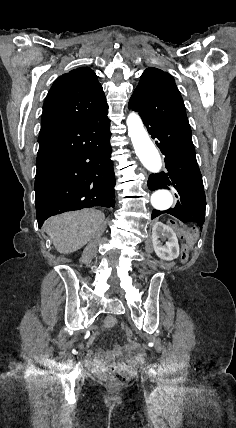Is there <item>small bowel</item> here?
Instances as JSON below:
<instances>
[{
	"mask_svg": "<svg viewBox=\"0 0 236 428\" xmlns=\"http://www.w3.org/2000/svg\"><path fill=\"white\" fill-rule=\"evenodd\" d=\"M117 320L114 317H107L101 330L114 327ZM98 332L95 333L89 342H91ZM145 355L137 343H131L125 346H116L113 351H104L99 349L95 352L94 357L88 360V364L95 371H102L106 367L112 368H130L144 361Z\"/></svg>",
	"mask_w": 236,
	"mask_h": 428,
	"instance_id": "small-bowel-1",
	"label": "small bowel"
}]
</instances>
